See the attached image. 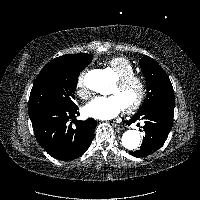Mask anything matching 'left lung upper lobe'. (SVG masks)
<instances>
[{"label": "left lung upper lobe", "mask_w": 200, "mask_h": 200, "mask_svg": "<svg viewBox=\"0 0 200 200\" xmlns=\"http://www.w3.org/2000/svg\"><path fill=\"white\" fill-rule=\"evenodd\" d=\"M140 67L145 76L147 96L137 113L152 105L174 107V91L169 77L151 57L144 55Z\"/></svg>", "instance_id": "5c2ea615"}]
</instances>
